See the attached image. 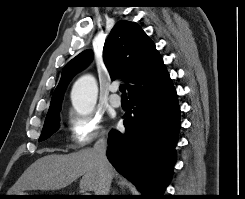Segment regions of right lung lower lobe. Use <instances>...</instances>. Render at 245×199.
<instances>
[{
	"label": "right lung lower lobe",
	"instance_id": "obj_1",
	"mask_svg": "<svg viewBox=\"0 0 245 199\" xmlns=\"http://www.w3.org/2000/svg\"><path fill=\"white\" fill-rule=\"evenodd\" d=\"M180 107L169 78L145 93L129 96L125 132L111 130L107 157L146 199H159L175 163Z\"/></svg>",
	"mask_w": 245,
	"mask_h": 199
}]
</instances>
